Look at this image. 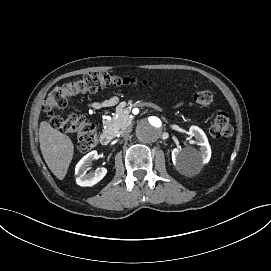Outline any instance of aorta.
Returning <instances> with one entry per match:
<instances>
[{"label": "aorta", "instance_id": "aorta-1", "mask_svg": "<svg viewBox=\"0 0 271 271\" xmlns=\"http://www.w3.org/2000/svg\"><path fill=\"white\" fill-rule=\"evenodd\" d=\"M163 131V123L161 119L151 116L147 119H142L136 126V137L142 143H152L157 141Z\"/></svg>", "mask_w": 271, "mask_h": 271}]
</instances>
